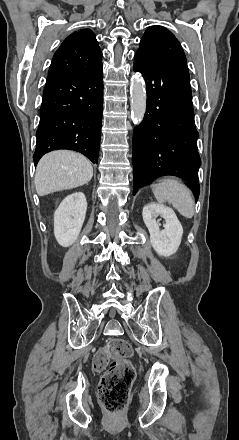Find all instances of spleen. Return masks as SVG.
I'll list each match as a JSON object with an SVG mask.
<instances>
[{
	"label": "spleen",
	"instance_id": "1",
	"mask_svg": "<svg viewBox=\"0 0 239 440\" xmlns=\"http://www.w3.org/2000/svg\"><path fill=\"white\" fill-rule=\"evenodd\" d=\"M152 192L159 204L169 202L185 218L194 216L192 192L177 180H161V184H152Z\"/></svg>",
	"mask_w": 239,
	"mask_h": 440
}]
</instances>
